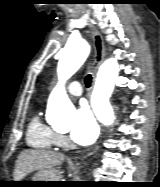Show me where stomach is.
Here are the masks:
<instances>
[{"label": "stomach", "instance_id": "obj_1", "mask_svg": "<svg viewBox=\"0 0 160 187\" xmlns=\"http://www.w3.org/2000/svg\"><path fill=\"white\" fill-rule=\"evenodd\" d=\"M33 182L25 183L22 186L28 187H48L54 184L53 182H59V174L56 170L39 171L32 177Z\"/></svg>", "mask_w": 160, "mask_h": 187}]
</instances>
